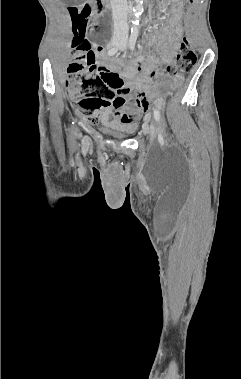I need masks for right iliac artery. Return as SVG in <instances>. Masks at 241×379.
<instances>
[{
    "label": "right iliac artery",
    "mask_w": 241,
    "mask_h": 379,
    "mask_svg": "<svg viewBox=\"0 0 241 379\" xmlns=\"http://www.w3.org/2000/svg\"><path fill=\"white\" fill-rule=\"evenodd\" d=\"M117 51H118V46L117 47H113V48L109 49L108 55L109 56H113Z\"/></svg>",
    "instance_id": "obj_1"
}]
</instances>
